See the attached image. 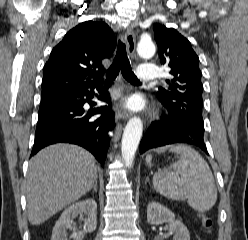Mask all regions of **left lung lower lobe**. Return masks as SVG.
<instances>
[{
    "instance_id": "0a47b994",
    "label": "left lung lower lobe",
    "mask_w": 248,
    "mask_h": 240,
    "mask_svg": "<svg viewBox=\"0 0 248 240\" xmlns=\"http://www.w3.org/2000/svg\"><path fill=\"white\" fill-rule=\"evenodd\" d=\"M204 124L197 120L177 121L169 116L152 122L140 143V153L173 143L193 145L207 153Z\"/></svg>"
}]
</instances>
